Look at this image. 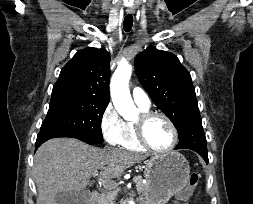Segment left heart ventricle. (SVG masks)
<instances>
[{
    "label": "left heart ventricle",
    "instance_id": "1",
    "mask_svg": "<svg viewBox=\"0 0 253 204\" xmlns=\"http://www.w3.org/2000/svg\"><path fill=\"white\" fill-rule=\"evenodd\" d=\"M145 136L149 144L155 149L167 148L173 139L170 126L162 118H155L146 125Z\"/></svg>",
    "mask_w": 253,
    "mask_h": 204
}]
</instances>
